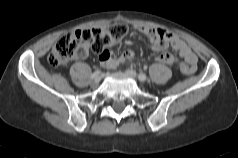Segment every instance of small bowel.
I'll return each mask as SVG.
<instances>
[{
    "instance_id": "c3829d8e",
    "label": "small bowel",
    "mask_w": 238,
    "mask_h": 158,
    "mask_svg": "<svg viewBox=\"0 0 238 158\" xmlns=\"http://www.w3.org/2000/svg\"><path fill=\"white\" fill-rule=\"evenodd\" d=\"M138 30L145 34L151 43V48L155 51L162 52L168 47H172L177 55L163 52L156 57V60L170 65H178L181 61L195 66L197 58L191 48L174 33L162 28H152L147 26H140ZM134 56L132 50L124 51L119 57H114L109 50H105L100 54L99 59L101 64L108 69H115L130 60Z\"/></svg>"
}]
</instances>
